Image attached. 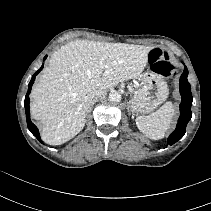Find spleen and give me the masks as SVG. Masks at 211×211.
Here are the masks:
<instances>
[{"mask_svg": "<svg viewBox=\"0 0 211 211\" xmlns=\"http://www.w3.org/2000/svg\"><path fill=\"white\" fill-rule=\"evenodd\" d=\"M174 111L172 102H166L156 112L137 117L136 125L150 139H162L170 128Z\"/></svg>", "mask_w": 211, "mask_h": 211, "instance_id": "spleen-1", "label": "spleen"}]
</instances>
